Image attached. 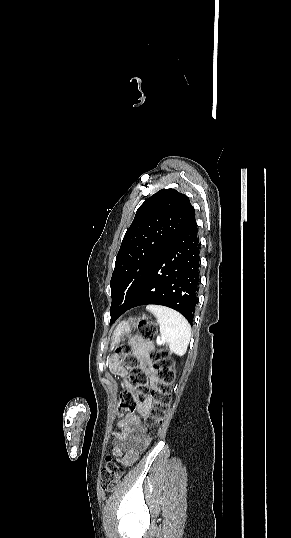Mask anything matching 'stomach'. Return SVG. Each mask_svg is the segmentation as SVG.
Returning <instances> with one entry per match:
<instances>
[{
    "label": "stomach",
    "mask_w": 291,
    "mask_h": 538,
    "mask_svg": "<svg viewBox=\"0 0 291 538\" xmlns=\"http://www.w3.org/2000/svg\"><path fill=\"white\" fill-rule=\"evenodd\" d=\"M130 331L131 324L129 323V321L120 322L113 331L111 345H117L126 335L130 333Z\"/></svg>",
    "instance_id": "obj_1"
}]
</instances>
